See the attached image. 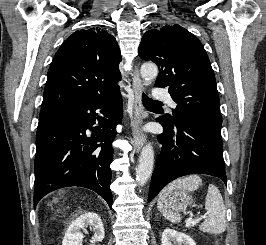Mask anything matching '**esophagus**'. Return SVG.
<instances>
[{
    "label": "esophagus",
    "mask_w": 266,
    "mask_h": 245,
    "mask_svg": "<svg viewBox=\"0 0 266 245\" xmlns=\"http://www.w3.org/2000/svg\"><path fill=\"white\" fill-rule=\"evenodd\" d=\"M132 90L134 98V136H133V145L136 149V152H139L145 141L146 135L143 132H140V127L145 118V112L142 105V90L143 84L139 75V70L137 65H135L132 73Z\"/></svg>",
    "instance_id": "1"
}]
</instances>
